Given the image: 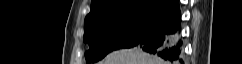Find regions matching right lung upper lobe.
<instances>
[{
  "label": "right lung upper lobe",
  "mask_w": 242,
  "mask_h": 64,
  "mask_svg": "<svg viewBox=\"0 0 242 64\" xmlns=\"http://www.w3.org/2000/svg\"><path fill=\"white\" fill-rule=\"evenodd\" d=\"M178 0H92L90 13L85 24L107 14L131 10H152L164 14L172 9Z\"/></svg>",
  "instance_id": "right-lung-upper-lobe-1"
}]
</instances>
